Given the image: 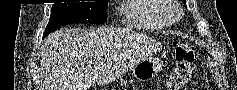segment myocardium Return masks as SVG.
<instances>
[{
	"mask_svg": "<svg viewBox=\"0 0 237 90\" xmlns=\"http://www.w3.org/2000/svg\"><path fill=\"white\" fill-rule=\"evenodd\" d=\"M178 14H180V12H178ZM169 25H176L179 23L180 21V17L177 18V17H166V20H165Z\"/></svg>",
	"mask_w": 237,
	"mask_h": 90,
	"instance_id": "f54148a6",
	"label": "myocardium"
}]
</instances>
